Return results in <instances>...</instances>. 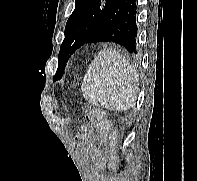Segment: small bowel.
<instances>
[{
    "label": "small bowel",
    "instance_id": "small-bowel-1",
    "mask_svg": "<svg viewBox=\"0 0 197 181\" xmlns=\"http://www.w3.org/2000/svg\"><path fill=\"white\" fill-rule=\"evenodd\" d=\"M90 133H91V130L89 128H87L85 135H89Z\"/></svg>",
    "mask_w": 197,
    "mask_h": 181
}]
</instances>
